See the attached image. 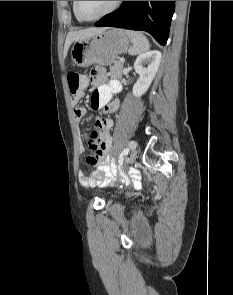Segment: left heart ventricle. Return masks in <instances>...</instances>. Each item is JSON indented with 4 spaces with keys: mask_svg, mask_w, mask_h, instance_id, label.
Returning a JSON list of instances; mask_svg holds the SVG:
<instances>
[{
    "mask_svg": "<svg viewBox=\"0 0 233 295\" xmlns=\"http://www.w3.org/2000/svg\"><path fill=\"white\" fill-rule=\"evenodd\" d=\"M114 1H79V11L84 17L97 16L112 6Z\"/></svg>",
    "mask_w": 233,
    "mask_h": 295,
    "instance_id": "b2bd125f",
    "label": "left heart ventricle"
}]
</instances>
